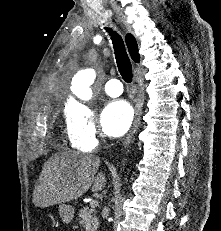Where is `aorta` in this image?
I'll use <instances>...</instances> for the list:
<instances>
[{
    "mask_svg": "<svg viewBox=\"0 0 221 231\" xmlns=\"http://www.w3.org/2000/svg\"><path fill=\"white\" fill-rule=\"evenodd\" d=\"M96 78L93 69H86L78 72L73 80L71 90L81 100H90L92 98V90L90 86Z\"/></svg>",
    "mask_w": 221,
    "mask_h": 231,
    "instance_id": "762f6f07",
    "label": "aorta"
}]
</instances>
